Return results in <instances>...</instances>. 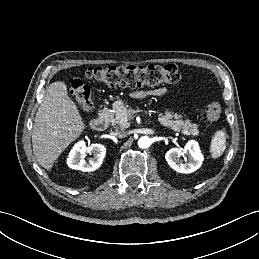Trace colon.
Here are the masks:
<instances>
[{
    "mask_svg": "<svg viewBox=\"0 0 259 259\" xmlns=\"http://www.w3.org/2000/svg\"><path fill=\"white\" fill-rule=\"evenodd\" d=\"M86 78L111 87L140 88L160 84H176L180 80L178 68L167 65H129L90 67ZM69 91L76 98L79 107L85 113L93 110L94 103L90 87L79 79L69 81ZM222 107L218 101H212L206 106V117L210 122H216L221 115Z\"/></svg>",
    "mask_w": 259,
    "mask_h": 259,
    "instance_id": "colon-1",
    "label": "colon"
}]
</instances>
